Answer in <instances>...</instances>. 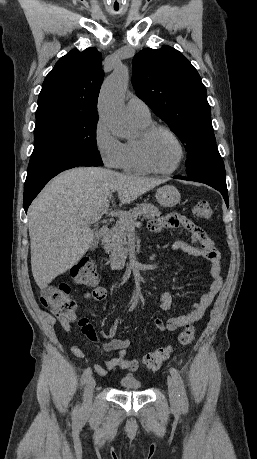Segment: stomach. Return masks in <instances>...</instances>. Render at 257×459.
I'll use <instances>...</instances> for the list:
<instances>
[{"label":"stomach","instance_id":"0dacf381","mask_svg":"<svg viewBox=\"0 0 257 459\" xmlns=\"http://www.w3.org/2000/svg\"><path fill=\"white\" fill-rule=\"evenodd\" d=\"M156 199L164 207H174L180 202L181 196L176 187L165 185L157 189Z\"/></svg>","mask_w":257,"mask_h":459}]
</instances>
